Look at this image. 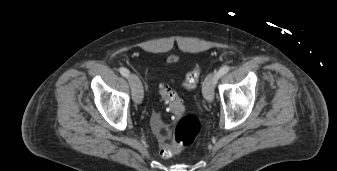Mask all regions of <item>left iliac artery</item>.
Returning <instances> with one entry per match:
<instances>
[{"label":"left iliac artery","instance_id":"44dca946","mask_svg":"<svg viewBox=\"0 0 337 171\" xmlns=\"http://www.w3.org/2000/svg\"><path fill=\"white\" fill-rule=\"evenodd\" d=\"M229 66H223L219 69V71L216 73L217 79L225 75L229 71Z\"/></svg>","mask_w":337,"mask_h":171}]
</instances>
